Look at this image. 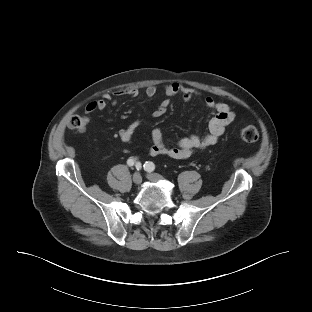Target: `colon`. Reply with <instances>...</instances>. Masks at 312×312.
I'll use <instances>...</instances> for the list:
<instances>
[{"label":"colon","instance_id":"obj_1","mask_svg":"<svg viewBox=\"0 0 312 312\" xmlns=\"http://www.w3.org/2000/svg\"><path fill=\"white\" fill-rule=\"evenodd\" d=\"M88 124V119L79 114L72 115L68 120L69 127L76 130H83ZM239 138L247 143H252L258 140L259 130L255 124H250L242 127L238 133Z\"/></svg>","mask_w":312,"mask_h":312}]
</instances>
